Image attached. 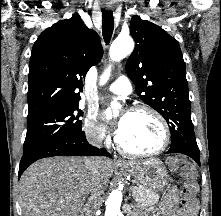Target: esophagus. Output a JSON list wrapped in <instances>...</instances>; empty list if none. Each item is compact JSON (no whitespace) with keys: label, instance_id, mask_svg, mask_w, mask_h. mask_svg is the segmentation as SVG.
<instances>
[{"label":"esophagus","instance_id":"34e87169","mask_svg":"<svg viewBox=\"0 0 221 216\" xmlns=\"http://www.w3.org/2000/svg\"><path fill=\"white\" fill-rule=\"evenodd\" d=\"M114 163L117 166H125L127 163L120 157L115 156Z\"/></svg>","mask_w":221,"mask_h":216}]
</instances>
